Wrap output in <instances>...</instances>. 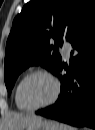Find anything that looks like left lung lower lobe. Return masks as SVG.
<instances>
[{
  "label": "left lung lower lobe",
  "mask_w": 95,
  "mask_h": 130,
  "mask_svg": "<svg viewBox=\"0 0 95 130\" xmlns=\"http://www.w3.org/2000/svg\"><path fill=\"white\" fill-rule=\"evenodd\" d=\"M73 50L69 67L61 60L54 74L61 80L56 103L36 114L77 127H95V13L69 39ZM63 69L66 75H62Z\"/></svg>",
  "instance_id": "obj_1"
}]
</instances>
